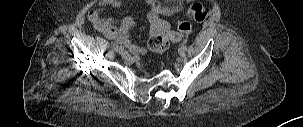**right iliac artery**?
<instances>
[{
  "mask_svg": "<svg viewBox=\"0 0 303 127\" xmlns=\"http://www.w3.org/2000/svg\"><path fill=\"white\" fill-rule=\"evenodd\" d=\"M111 46L115 51H118L120 49L119 46L113 42H111Z\"/></svg>",
  "mask_w": 303,
  "mask_h": 127,
  "instance_id": "1",
  "label": "right iliac artery"
}]
</instances>
